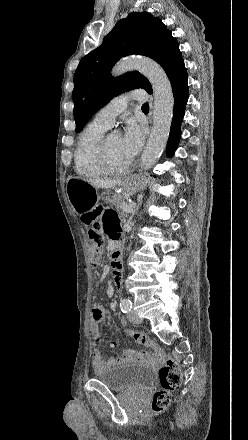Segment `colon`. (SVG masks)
Listing matches in <instances>:
<instances>
[{"instance_id":"obj_1","label":"colon","mask_w":248,"mask_h":440,"mask_svg":"<svg viewBox=\"0 0 248 440\" xmlns=\"http://www.w3.org/2000/svg\"><path fill=\"white\" fill-rule=\"evenodd\" d=\"M104 213L101 206H91L83 215L82 220L90 226L88 238L91 243V260L94 265L99 260L103 247L102 230L104 229ZM125 333L138 344L161 352V347L142 332L125 330ZM158 378L161 388L154 393L152 409L162 412L170 405L172 392L178 389L182 382V373L178 363L170 356L158 370Z\"/></svg>"}]
</instances>
